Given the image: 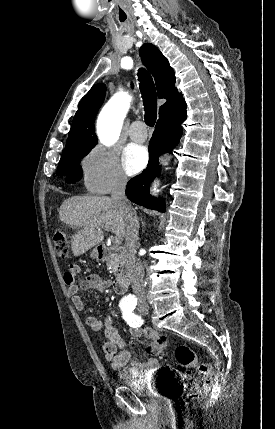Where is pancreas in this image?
Returning <instances> with one entry per match:
<instances>
[{"mask_svg":"<svg viewBox=\"0 0 275 429\" xmlns=\"http://www.w3.org/2000/svg\"><path fill=\"white\" fill-rule=\"evenodd\" d=\"M116 260H117V257H114L113 259L109 260L107 263L108 267H112L111 273H113L114 275L117 274V268H116L117 262H116Z\"/></svg>","mask_w":275,"mask_h":429,"instance_id":"obj_1","label":"pancreas"}]
</instances>
